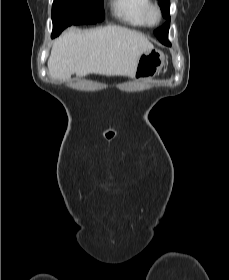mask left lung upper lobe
<instances>
[{
	"instance_id": "left-lung-upper-lobe-1",
	"label": "left lung upper lobe",
	"mask_w": 229,
	"mask_h": 280,
	"mask_svg": "<svg viewBox=\"0 0 229 280\" xmlns=\"http://www.w3.org/2000/svg\"><path fill=\"white\" fill-rule=\"evenodd\" d=\"M162 15L164 18H166V23L156 29L154 31L155 36L159 39V41L165 45L169 44V41L167 40L168 38V31H169V26H170V15H169V10H170V0H158Z\"/></svg>"
}]
</instances>
